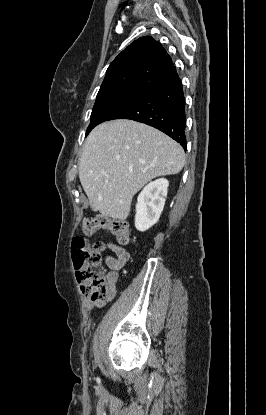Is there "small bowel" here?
Returning <instances> with one entry per match:
<instances>
[{"instance_id":"small-bowel-1","label":"small bowel","mask_w":266,"mask_h":415,"mask_svg":"<svg viewBox=\"0 0 266 415\" xmlns=\"http://www.w3.org/2000/svg\"><path fill=\"white\" fill-rule=\"evenodd\" d=\"M108 248L113 251L116 257L112 255L105 256V263L110 269L108 272L109 281L112 287V295L106 301H94L90 296L86 298V306L88 309H93L95 307H103L106 303L110 302L115 297V283L118 279V271L127 263L130 258L129 252L114 243H108Z\"/></svg>"}]
</instances>
